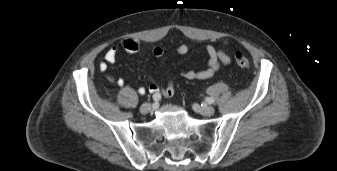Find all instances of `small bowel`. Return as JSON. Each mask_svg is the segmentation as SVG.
Here are the masks:
<instances>
[{
	"label": "small bowel",
	"mask_w": 337,
	"mask_h": 171,
	"mask_svg": "<svg viewBox=\"0 0 337 171\" xmlns=\"http://www.w3.org/2000/svg\"><path fill=\"white\" fill-rule=\"evenodd\" d=\"M140 50L139 42L134 39H124L117 45L109 48L104 56V60L100 62L99 68L101 71L106 72L110 64H114L117 61L120 52L136 53ZM189 48L186 44H180L177 47V53L179 55L187 54ZM205 53L208 56V61L205 67L200 70H185L181 72V76L187 80H206L212 78L223 65L230 63V57L224 49H217L212 45H207L204 48ZM163 49L161 47H155L152 50V54L155 57H161L163 55ZM106 79L110 83H114L119 87H125L126 83L123 78H116L113 74L107 73ZM148 90L153 94L162 93L165 97H171L174 94V82L170 78L168 85L165 88H161L159 83L154 79H150ZM146 89L144 87L138 88L139 94H144Z\"/></svg>",
	"instance_id": "small-bowel-1"
}]
</instances>
